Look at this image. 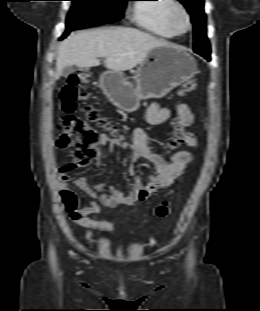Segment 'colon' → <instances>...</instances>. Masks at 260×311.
I'll list each match as a JSON object with an SVG mask.
<instances>
[{
  "instance_id": "obj_1",
  "label": "colon",
  "mask_w": 260,
  "mask_h": 311,
  "mask_svg": "<svg viewBox=\"0 0 260 311\" xmlns=\"http://www.w3.org/2000/svg\"><path fill=\"white\" fill-rule=\"evenodd\" d=\"M91 73L82 69L70 76L61 91L62 108L68 114L59 124L60 135L57 140L59 148L73 150L74 161L83 166L90 163L98 156V147L102 144L103 134L93 125L97 123L100 128L110 131L115 137L123 140L122 135L103 117L94 107H86L85 118L71 114L77 108L79 100L85 98L83 88L89 83ZM197 89L195 80H187L182 87L183 93H193ZM186 142V133L182 129H176L173 135L167 139L166 145L171 149H177ZM169 204L161 202L155 210L157 218L162 219L168 215Z\"/></svg>"
}]
</instances>
